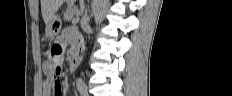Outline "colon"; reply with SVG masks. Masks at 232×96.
I'll list each match as a JSON object with an SVG mask.
<instances>
[{"label": "colon", "mask_w": 232, "mask_h": 96, "mask_svg": "<svg viewBox=\"0 0 232 96\" xmlns=\"http://www.w3.org/2000/svg\"><path fill=\"white\" fill-rule=\"evenodd\" d=\"M62 52H63L62 47L57 44H54L47 51L48 58L51 61V67L49 72L54 77H58L62 69V65H63Z\"/></svg>", "instance_id": "colon-1"}]
</instances>
